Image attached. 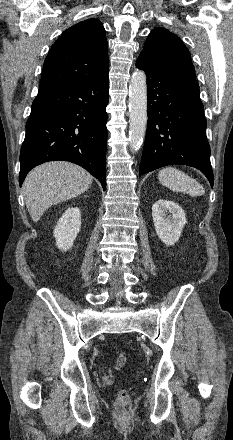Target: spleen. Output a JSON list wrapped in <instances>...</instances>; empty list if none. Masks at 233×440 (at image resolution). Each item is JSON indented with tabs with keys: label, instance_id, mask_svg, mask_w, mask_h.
Masks as SVG:
<instances>
[{
	"label": "spleen",
	"instance_id": "1",
	"mask_svg": "<svg viewBox=\"0 0 233 440\" xmlns=\"http://www.w3.org/2000/svg\"><path fill=\"white\" fill-rule=\"evenodd\" d=\"M160 183L175 192H187L190 196H201L205 193L203 186L183 171L166 167L159 171Z\"/></svg>",
	"mask_w": 233,
	"mask_h": 440
}]
</instances>
